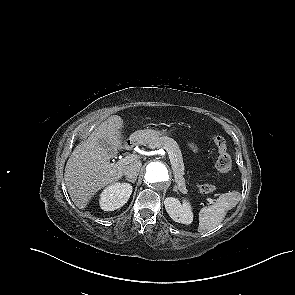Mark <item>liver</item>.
Returning <instances> with one entry per match:
<instances>
[{
    "label": "liver",
    "instance_id": "obj_1",
    "mask_svg": "<svg viewBox=\"0 0 295 295\" xmlns=\"http://www.w3.org/2000/svg\"><path fill=\"white\" fill-rule=\"evenodd\" d=\"M123 125L120 116H111L86 141L77 145L70 155L65 167L64 180L72 201L79 209L86 208L100 189L121 179L126 166L141 165L140 160L126 165L110 164V157L125 147L122 137ZM100 140H105L111 151L103 147Z\"/></svg>",
    "mask_w": 295,
    "mask_h": 295
}]
</instances>
